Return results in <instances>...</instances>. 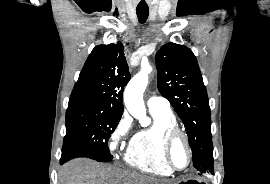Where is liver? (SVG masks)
<instances>
[{
	"mask_svg": "<svg viewBox=\"0 0 270 184\" xmlns=\"http://www.w3.org/2000/svg\"><path fill=\"white\" fill-rule=\"evenodd\" d=\"M58 176V184H169L85 158L68 161Z\"/></svg>",
	"mask_w": 270,
	"mask_h": 184,
	"instance_id": "obj_1",
	"label": "liver"
}]
</instances>
